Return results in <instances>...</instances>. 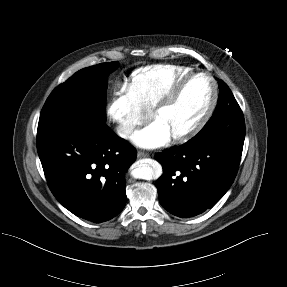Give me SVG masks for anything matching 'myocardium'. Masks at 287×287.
<instances>
[{"instance_id":"obj_1","label":"myocardium","mask_w":287,"mask_h":287,"mask_svg":"<svg viewBox=\"0 0 287 287\" xmlns=\"http://www.w3.org/2000/svg\"><path fill=\"white\" fill-rule=\"evenodd\" d=\"M200 76L207 78L211 84L210 101L205 111L195 123H193L187 129L171 135L172 139L175 141H185L197 134L212 116L216 108L219 96L218 86L215 79L209 73L206 72H191L179 79L177 82H175L173 86L162 96V98L150 109V116L155 118L161 111L170 107L175 102L182 89L186 86L188 82Z\"/></svg>"}]
</instances>
